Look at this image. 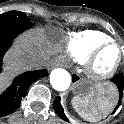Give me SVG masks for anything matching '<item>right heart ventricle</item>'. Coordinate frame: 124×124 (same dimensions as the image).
Listing matches in <instances>:
<instances>
[{
  "mask_svg": "<svg viewBox=\"0 0 124 124\" xmlns=\"http://www.w3.org/2000/svg\"><path fill=\"white\" fill-rule=\"evenodd\" d=\"M108 41H112L108 34L99 30L87 29L68 32L63 38V47L73 62L84 64L98 45Z\"/></svg>",
  "mask_w": 124,
  "mask_h": 124,
  "instance_id": "obj_1",
  "label": "right heart ventricle"
}]
</instances>
